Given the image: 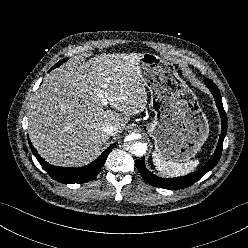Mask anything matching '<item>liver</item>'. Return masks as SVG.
I'll list each match as a JSON object with an SVG mask.
<instances>
[{
  "label": "liver",
  "mask_w": 248,
  "mask_h": 248,
  "mask_svg": "<svg viewBox=\"0 0 248 248\" xmlns=\"http://www.w3.org/2000/svg\"><path fill=\"white\" fill-rule=\"evenodd\" d=\"M141 55L101 54L45 78L30 106L28 131L46 161L56 166L89 163L109 139L103 125H116L122 132L131 116L146 109ZM102 99L115 110H105Z\"/></svg>",
  "instance_id": "liver-1"
}]
</instances>
